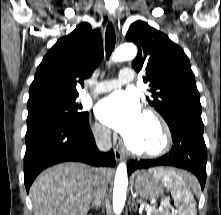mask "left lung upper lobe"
I'll return each instance as SVG.
<instances>
[{
    "instance_id": "left-lung-upper-lobe-1",
    "label": "left lung upper lobe",
    "mask_w": 221,
    "mask_h": 215,
    "mask_svg": "<svg viewBox=\"0 0 221 215\" xmlns=\"http://www.w3.org/2000/svg\"><path fill=\"white\" fill-rule=\"evenodd\" d=\"M128 42L135 43L139 53L133 68L146 70L151 96L147 101L166 120L176 109L201 114L200 96L190 62L184 51L167 35L143 21H136L126 34Z\"/></svg>"
}]
</instances>
